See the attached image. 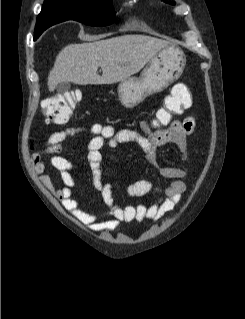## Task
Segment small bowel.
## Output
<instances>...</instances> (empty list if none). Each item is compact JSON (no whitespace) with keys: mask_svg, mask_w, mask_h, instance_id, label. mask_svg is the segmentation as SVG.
Wrapping results in <instances>:
<instances>
[{"mask_svg":"<svg viewBox=\"0 0 245 319\" xmlns=\"http://www.w3.org/2000/svg\"><path fill=\"white\" fill-rule=\"evenodd\" d=\"M184 90L186 92L185 104L192 103V98L188 88L183 83L174 85L172 92ZM195 120L186 117L183 120H173L168 128L153 130L147 121L140 122V132L133 129L115 130L109 125L93 124L88 127V131L94 137L87 145V161L91 169L93 184L100 192L101 197L107 206V211L102 213H91L83 210L79 202L73 197V189L76 186L72 171L74 164L59 153L63 149L64 142L78 134L81 129L77 127H67L64 130L52 133L47 139V146L44 150L33 155L35 172L40 176V180L48 191L63 206L71 212L78 220L87 224L90 229L96 232H110L115 230L122 222H142L145 220H159L181 200L182 194L186 191L183 181L185 172L179 167L160 166L157 156L160 148L173 145L176 146L185 161L189 159L188 137L192 134ZM124 143H136L146 154L147 162L155 169L157 175L163 179L170 180V184L165 187L155 185L149 180L140 179L126 185L125 190L128 195L141 197L150 193H158L159 197L150 205L128 204L121 205L113 198L112 185L104 183L101 179L100 165L102 162L101 149L108 145L115 147ZM50 154V164L60 173L63 182L62 187H56L49 175L44 174L46 162L43 155Z\"/></svg>","mask_w":245,"mask_h":319,"instance_id":"1","label":"small bowel"}]
</instances>
